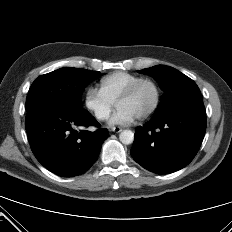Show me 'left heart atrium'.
Here are the masks:
<instances>
[{"label":"left heart atrium","instance_id":"left-heart-atrium-1","mask_svg":"<svg viewBox=\"0 0 232 232\" xmlns=\"http://www.w3.org/2000/svg\"><path fill=\"white\" fill-rule=\"evenodd\" d=\"M137 117L125 108H117L109 120L111 126H126L131 124Z\"/></svg>","mask_w":232,"mask_h":232}]
</instances>
